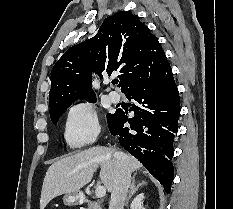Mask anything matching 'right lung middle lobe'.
<instances>
[{"instance_id": "right-lung-middle-lobe-1", "label": "right lung middle lobe", "mask_w": 233, "mask_h": 209, "mask_svg": "<svg viewBox=\"0 0 233 209\" xmlns=\"http://www.w3.org/2000/svg\"><path fill=\"white\" fill-rule=\"evenodd\" d=\"M89 102H96V100H90ZM71 104H67V105H63L60 106L58 108H56L55 110L50 112V117L52 122L57 125V122L59 120V118L61 117L62 113L64 112L65 109H67ZM114 114H107V121L108 123L112 120Z\"/></svg>"}]
</instances>
